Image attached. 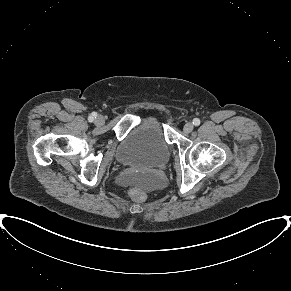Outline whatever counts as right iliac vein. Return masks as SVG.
Instances as JSON below:
<instances>
[{"mask_svg": "<svg viewBox=\"0 0 291 291\" xmlns=\"http://www.w3.org/2000/svg\"><path fill=\"white\" fill-rule=\"evenodd\" d=\"M105 122V118L102 115L97 116V118L95 119V123L97 125H103Z\"/></svg>", "mask_w": 291, "mask_h": 291, "instance_id": "63e3f726", "label": "right iliac vein"}]
</instances>
